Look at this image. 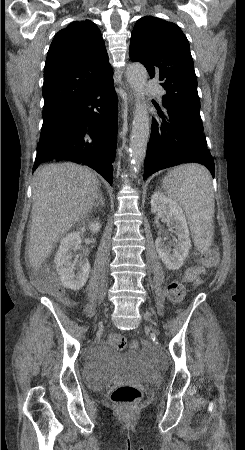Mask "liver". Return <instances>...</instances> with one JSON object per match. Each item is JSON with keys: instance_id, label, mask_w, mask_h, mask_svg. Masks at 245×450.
Masks as SVG:
<instances>
[{"instance_id": "liver-1", "label": "liver", "mask_w": 245, "mask_h": 450, "mask_svg": "<svg viewBox=\"0 0 245 450\" xmlns=\"http://www.w3.org/2000/svg\"><path fill=\"white\" fill-rule=\"evenodd\" d=\"M32 193L28 258L38 270L61 237L91 212L100 183L86 167L50 164L35 173Z\"/></svg>"}]
</instances>
